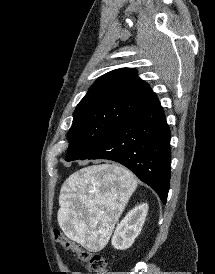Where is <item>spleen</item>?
Listing matches in <instances>:
<instances>
[{"label":"spleen","instance_id":"1","mask_svg":"<svg viewBox=\"0 0 215 274\" xmlns=\"http://www.w3.org/2000/svg\"><path fill=\"white\" fill-rule=\"evenodd\" d=\"M136 187L135 176L120 166L81 169L62 185L59 225L69 238L86 247L96 240L103 244Z\"/></svg>","mask_w":215,"mask_h":274}]
</instances>
